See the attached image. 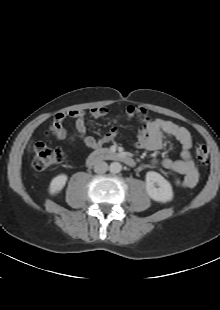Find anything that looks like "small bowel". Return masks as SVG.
<instances>
[{
  "instance_id": "1",
  "label": "small bowel",
  "mask_w": 220,
  "mask_h": 310,
  "mask_svg": "<svg viewBox=\"0 0 220 310\" xmlns=\"http://www.w3.org/2000/svg\"><path fill=\"white\" fill-rule=\"evenodd\" d=\"M87 114L93 118H100L106 116L108 110L104 107H95L88 112L83 109H76L58 113L53 118L47 134L55 136L60 140H65L67 138V132L63 127V121L67 118H73L75 120V128L77 132L82 137L86 147L90 149H97L104 143L111 142L117 137L119 133V128L117 126H112L99 139L88 135L86 122ZM125 114L128 118H138L142 123L135 141V146L137 148L148 151L161 150L165 146V136L174 138L180 144V159L173 160L170 158H164L159 162H155V164L174 174L181 175V178L177 177L175 179V183L178 186L185 188L194 187L198 183L199 173L191 152L192 137L189 131L171 121L151 119L147 110L142 107L128 106L125 109Z\"/></svg>"
}]
</instances>
